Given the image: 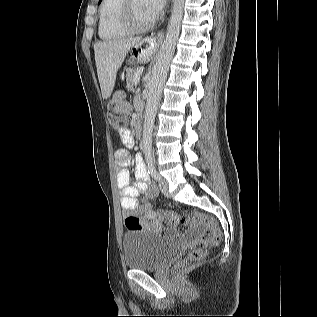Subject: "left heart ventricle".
I'll use <instances>...</instances> for the list:
<instances>
[{
	"mask_svg": "<svg viewBox=\"0 0 317 317\" xmlns=\"http://www.w3.org/2000/svg\"><path fill=\"white\" fill-rule=\"evenodd\" d=\"M132 11L137 24H145L153 19L146 7L145 0H132Z\"/></svg>",
	"mask_w": 317,
	"mask_h": 317,
	"instance_id": "b2bd125f",
	"label": "left heart ventricle"
}]
</instances>
